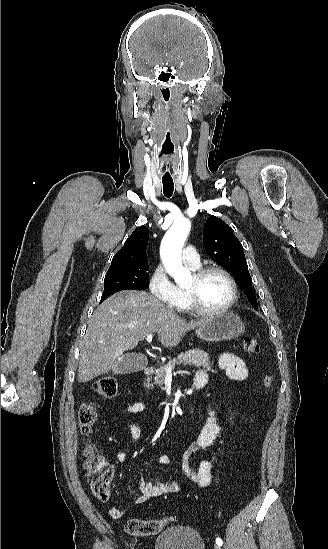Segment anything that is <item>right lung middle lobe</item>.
Segmentation results:
<instances>
[{
	"label": "right lung middle lobe",
	"mask_w": 328,
	"mask_h": 549,
	"mask_svg": "<svg viewBox=\"0 0 328 549\" xmlns=\"http://www.w3.org/2000/svg\"><path fill=\"white\" fill-rule=\"evenodd\" d=\"M148 261H138L110 270L105 275L101 302L125 289L143 290L149 286Z\"/></svg>",
	"instance_id": "obj_1"
}]
</instances>
